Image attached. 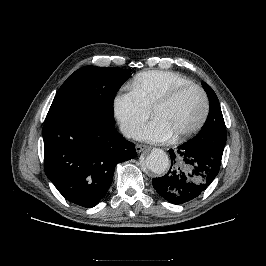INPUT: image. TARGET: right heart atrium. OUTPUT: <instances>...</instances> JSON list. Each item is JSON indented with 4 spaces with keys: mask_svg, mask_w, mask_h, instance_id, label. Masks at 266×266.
Segmentation results:
<instances>
[{
    "mask_svg": "<svg viewBox=\"0 0 266 266\" xmlns=\"http://www.w3.org/2000/svg\"><path fill=\"white\" fill-rule=\"evenodd\" d=\"M113 111L122 132L128 137L132 136L151 114V109L131 89L116 94Z\"/></svg>",
    "mask_w": 266,
    "mask_h": 266,
    "instance_id": "right-heart-atrium-1",
    "label": "right heart atrium"
}]
</instances>
